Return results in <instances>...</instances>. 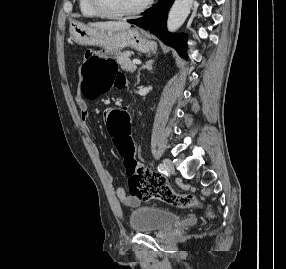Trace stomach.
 <instances>
[{
  "mask_svg": "<svg viewBox=\"0 0 286 269\" xmlns=\"http://www.w3.org/2000/svg\"><path fill=\"white\" fill-rule=\"evenodd\" d=\"M71 39L85 46H97L103 49H123L131 47L142 53L156 50V43L146 38L137 28L113 32L84 25L78 21L70 23Z\"/></svg>",
  "mask_w": 286,
  "mask_h": 269,
  "instance_id": "1",
  "label": "stomach"
}]
</instances>
